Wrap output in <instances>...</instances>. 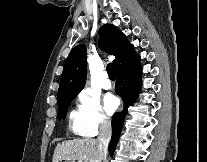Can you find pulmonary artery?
Here are the masks:
<instances>
[{"label":"pulmonary artery","instance_id":"e3ab8cb5","mask_svg":"<svg viewBox=\"0 0 207 162\" xmlns=\"http://www.w3.org/2000/svg\"><path fill=\"white\" fill-rule=\"evenodd\" d=\"M100 85L103 89L105 90H109L111 89L112 87V83L111 81L109 80L108 78V75L106 72H104L102 75H101V81H100Z\"/></svg>","mask_w":207,"mask_h":162}]
</instances>
